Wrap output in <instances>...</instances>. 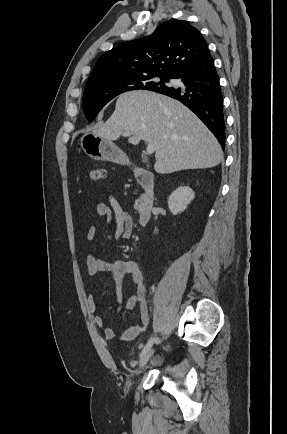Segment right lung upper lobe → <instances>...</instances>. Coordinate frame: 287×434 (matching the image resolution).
<instances>
[{
  "label": "right lung upper lobe",
  "instance_id": "right-lung-upper-lobe-1",
  "mask_svg": "<svg viewBox=\"0 0 287 434\" xmlns=\"http://www.w3.org/2000/svg\"><path fill=\"white\" fill-rule=\"evenodd\" d=\"M208 53L207 43L195 27L171 19L151 35L124 42L102 54L87 84L152 74L174 78Z\"/></svg>",
  "mask_w": 287,
  "mask_h": 434
}]
</instances>
